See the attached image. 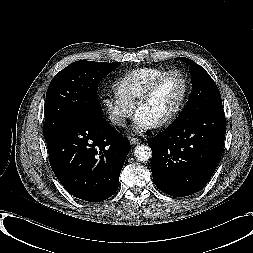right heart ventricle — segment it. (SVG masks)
<instances>
[{
	"mask_svg": "<svg viewBox=\"0 0 253 253\" xmlns=\"http://www.w3.org/2000/svg\"><path fill=\"white\" fill-rule=\"evenodd\" d=\"M167 69L143 67L121 75L114 83L115 92L126 102L135 106L146 87Z\"/></svg>",
	"mask_w": 253,
	"mask_h": 253,
	"instance_id": "e07e8e85",
	"label": "right heart ventricle"
}]
</instances>
